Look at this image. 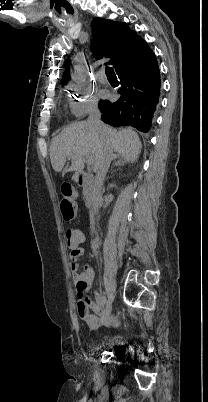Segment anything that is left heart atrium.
Returning a JSON list of instances; mask_svg holds the SVG:
<instances>
[{
  "instance_id": "1",
  "label": "left heart atrium",
  "mask_w": 208,
  "mask_h": 402,
  "mask_svg": "<svg viewBox=\"0 0 208 402\" xmlns=\"http://www.w3.org/2000/svg\"><path fill=\"white\" fill-rule=\"evenodd\" d=\"M101 95H102L103 97H107V96H108V91H107V90H103V91L101 92Z\"/></svg>"
}]
</instances>
